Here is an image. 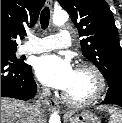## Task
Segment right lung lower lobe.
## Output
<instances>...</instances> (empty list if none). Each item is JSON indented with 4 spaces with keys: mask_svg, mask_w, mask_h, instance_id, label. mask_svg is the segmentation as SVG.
Returning a JSON list of instances; mask_svg holds the SVG:
<instances>
[{
    "mask_svg": "<svg viewBox=\"0 0 122 123\" xmlns=\"http://www.w3.org/2000/svg\"><path fill=\"white\" fill-rule=\"evenodd\" d=\"M31 66L1 56V97L28 100L36 94Z\"/></svg>",
    "mask_w": 122,
    "mask_h": 123,
    "instance_id": "right-lung-lower-lobe-1",
    "label": "right lung lower lobe"
}]
</instances>
